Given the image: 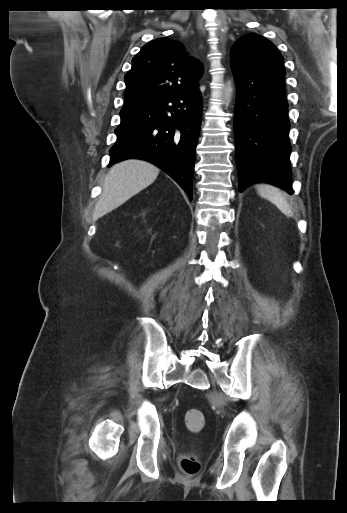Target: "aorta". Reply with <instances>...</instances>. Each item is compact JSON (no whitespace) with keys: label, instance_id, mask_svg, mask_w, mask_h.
I'll return each instance as SVG.
<instances>
[{"label":"aorta","instance_id":"762f6f07","mask_svg":"<svg viewBox=\"0 0 347 513\" xmlns=\"http://www.w3.org/2000/svg\"><path fill=\"white\" fill-rule=\"evenodd\" d=\"M232 91H233V88H232L231 82L229 81L226 83V86L224 88V100H225L226 105H228V103L231 99Z\"/></svg>","mask_w":347,"mask_h":513}]
</instances>
